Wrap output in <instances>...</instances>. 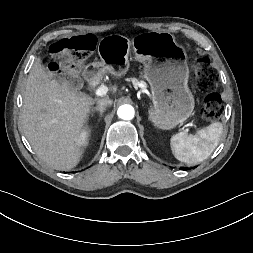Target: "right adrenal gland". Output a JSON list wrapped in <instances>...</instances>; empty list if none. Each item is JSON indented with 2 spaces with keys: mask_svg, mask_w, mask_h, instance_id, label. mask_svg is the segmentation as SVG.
Segmentation results:
<instances>
[{
  "mask_svg": "<svg viewBox=\"0 0 253 253\" xmlns=\"http://www.w3.org/2000/svg\"><path fill=\"white\" fill-rule=\"evenodd\" d=\"M106 107H94L91 109V116H93V112H99V116L102 117Z\"/></svg>",
  "mask_w": 253,
  "mask_h": 253,
  "instance_id": "2a0ac1e0",
  "label": "right adrenal gland"
}]
</instances>
